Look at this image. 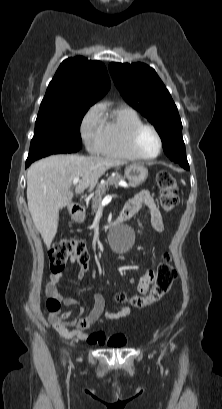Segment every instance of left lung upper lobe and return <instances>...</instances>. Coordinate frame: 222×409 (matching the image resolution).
<instances>
[{
    "mask_svg": "<svg viewBox=\"0 0 222 409\" xmlns=\"http://www.w3.org/2000/svg\"><path fill=\"white\" fill-rule=\"evenodd\" d=\"M109 71L127 103L155 126L166 155L186 169L189 164L178 110L155 70L143 63L112 62Z\"/></svg>",
    "mask_w": 222,
    "mask_h": 409,
    "instance_id": "1",
    "label": "left lung upper lobe"
}]
</instances>
